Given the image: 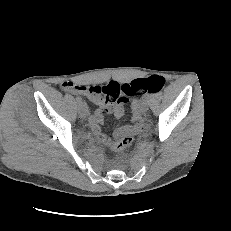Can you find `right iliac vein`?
Listing matches in <instances>:
<instances>
[{
    "instance_id": "right-iliac-vein-1",
    "label": "right iliac vein",
    "mask_w": 231,
    "mask_h": 231,
    "mask_svg": "<svg viewBox=\"0 0 231 231\" xmlns=\"http://www.w3.org/2000/svg\"><path fill=\"white\" fill-rule=\"evenodd\" d=\"M77 111L80 117H86L88 113L86 104L84 103L79 104L77 107Z\"/></svg>"
}]
</instances>
